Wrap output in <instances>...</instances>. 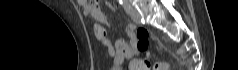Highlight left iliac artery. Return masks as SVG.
I'll return each mask as SVG.
<instances>
[{"mask_svg": "<svg viewBox=\"0 0 238 70\" xmlns=\"http://www.w3.org/2000/svg\"><path fill=\"white\" fill-rule=\"evenodd\" d=\"M124 8L126 10V13H129L128 2L126 0L124 1Z\"/></svg>", "mask_w": 238, "mask_h": 70, "instance_id": "obj_1", "label": "left iliac artery"}]
</instances>
